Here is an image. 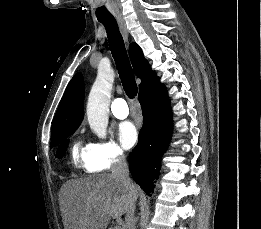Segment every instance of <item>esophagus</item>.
I'll use <instances>...</instances> for the list:
<instances>
[{
    "instance_id": "34e87169",
    "label": "esophagus",
    "mask_w": 261,
    "mask_h": 229,
    "mask_svg": "<svg viewBox=\"0 0 261 229\" xmlns=\"http://www.w3.org/2000/svg\"><path fill=\"white\" fill-rule=\"evenodd\" d=\"M116 19H117V22H118L121 34L124 37V40L126 42H128L129 32H128V29H127L126 22H125L124 18L122 17V15H116Z\"/></svg>"
}]
</instances>
